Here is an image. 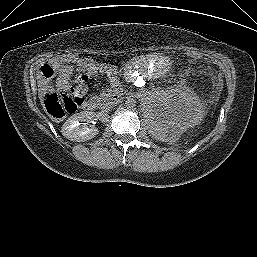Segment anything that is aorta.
Here are the masks:
<instances>
[{
    "instance_id": "1",
    "label": "aorta",
    "mask_w": 257,
    "mask_h": 257,
    "mask_svg": "<svg viewBox=\"0 0 257 257\" xmlns=\"http://www.w3.org/2000/svg\"><path fill=\"white\" fill-rule=\"evenodd\" d=\"M125 105L127 108H133L136 106V101L134 98L128 97L125 101Z\"/></svg>"
}]
</instances>
